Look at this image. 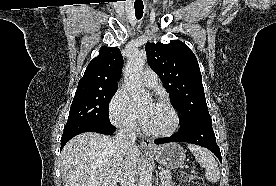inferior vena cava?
Here are the masks:
<instances>
[{
    "instance_id": "obj_1",
    "label": "inferior vena cava",
    "mask_w": 276,
    "mask_h": 186,
    "mask_svg": "<svg viewBox=\"0 0 276 186\" xmlns=\"http://www.w3.org/2000/svg\"><path fill=\"white\" fill-rule=\"evenodd\" d=\"M135 141L136 134L133 125H125L117 132L115 144L123 156V162L118 172L120 186H135L136 162L130 157V151L136 146Z\"/></svg>"
}]
</instances>
